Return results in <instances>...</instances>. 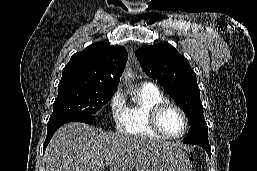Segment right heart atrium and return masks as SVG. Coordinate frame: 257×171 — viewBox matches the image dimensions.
I'll list each match as a JSON object with an SVG mask.
<instances>
[{"label":"right heart atrium","instance_id":"1","mask_svg":"<svg viewBox=\"0 0 257 171\" xmlns=\"http://www.w3.org/2000/svg\"><path fill=\"white\" fill-rule=\"evenodd\" d=\"M109 111L112 121L119 127L125 112V102L120 92H115L109 99Z\"/></svg>","mask_w":257,"mask_h":171}]
</instances>
